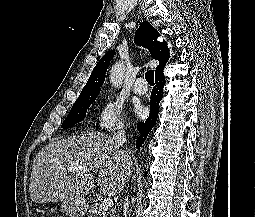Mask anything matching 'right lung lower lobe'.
I'll return each mask as SVG.
<instances>
[{
	"instance_id": "obj_1",
	"label": "right lung lower lobe",
	"mask_w": 255,
	"mask_h": 217,
	"mask_svg": "<svg viewBox=\"0 0 255 217\" xmlns=\"http://www.w3.org/2000/svg\"><path fill=\"white\" fill-rule=\"evenodd\" d=\"M155 83H156V86L153 88L151 93L150 116L145 122H140L137 125V130L140 133V136L136 142V147L138 150L140 149L141 145L144 143V140L147 138L153 126L155 125L156 119L158 117L159 101L163 97V87L165 84V77L163 72L155 75Z\"/></svg>"
}]
</instances>
